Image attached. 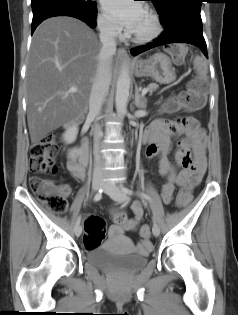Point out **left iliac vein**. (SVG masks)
Returning a JSON list of instances; mask_svg holds the SVG:
<instances>
[{
  "label": "left iliac vein",
  "instance_id": "1",
  "mask_svg": "<svg viewBox=\"0 0 238 315\" xmlns=\"http://www.w3.org/2000/svg\"><path fill=\"white\" fill-rule=\"evenodd\" d=\"M103 189L114 201L124 202L128 199L127 195L120 190V188L111 181H106L104 183ZM152 233L155 237L159 236L160 229L157 224H154L152 227Z\"/></svg>",
  "mask_w": 238,
  "mask_h": 315
}]
</instances>
